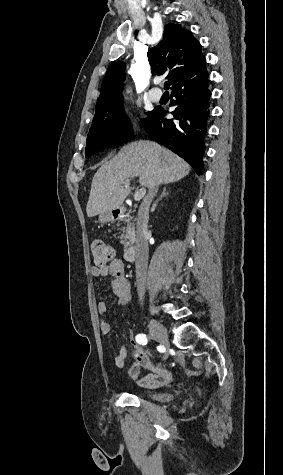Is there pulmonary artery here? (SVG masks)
<instances>
[{
    "label": "pulmonary artery",
    "mask_w": 283,
    "mask_h": 475,
    "mask_svg": "<svg viewBox=\"0 0 283 475\" xmlns=\"http://www.w3.org/2000/svg\"><path fill=\"white\" fill-rule=\"evenodd\" d=\"M154 85H159V84H154ZM150 94L152 96H161L163 94V89L161 87H152L150 89ZM152 101L153 102H158L159 99L158 98H152Z\"/></svg>",
    "instance_id": "e3ab8cb5"
}]
</instances>
